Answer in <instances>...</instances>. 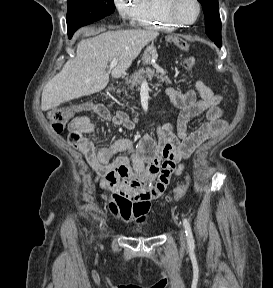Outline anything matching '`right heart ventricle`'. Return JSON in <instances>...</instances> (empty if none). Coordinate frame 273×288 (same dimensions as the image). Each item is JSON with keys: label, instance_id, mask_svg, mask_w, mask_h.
Instances as JSON below:
<instances>
[{"label": "right heart ventricle", "instance_id": "e07e8e85", "mask_svg": "<svg viewBox=\"0 0 273 288\" xmlns=\"http://www.w3.org/2000/svg\"><path fill=\"white\" fill-rule=\"evenodd\" d=\"M132 20L145 29L172 30L177 26L166 15L165 0H139Z\"/></svg>", "mask_w": 273, "mask_h": 288}]
</instances>
